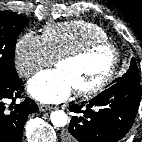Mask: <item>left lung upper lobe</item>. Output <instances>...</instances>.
I'll return each mask as SVG.
<instances>
[{
	"instance_id": "5c2ea615",
	"label": "left lung upper lobe",
	"mask_w": 142,
	"mask_h": 142,
	"mask_svg": "<svg viewBox=\"0 0 142 142\" xmlns=\"http://www.w3.org/2000/svg\"><path fill=\"white\" fill-rule=\"evenodd\" d=\"M137 79L140 81L139 70L134 58L131 59V63L128 67V70L118 79H115L112 84L123 82L126 80Z\"/></svg>"
}]
</instances>
